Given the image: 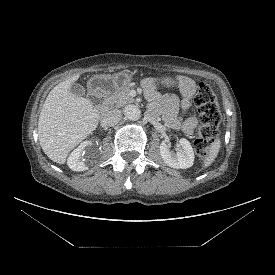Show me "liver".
Segmentation results:
<instances>
[{
	"mask_svg": "<svg viewBox=\"0 0 275 275\" xmlns=\"http://www.w3.org/2000/svg\"><path fill=\"white\" fill-rule=\"evenodd\" d=\"M75 74L56 85L48 94L38 120L39 142L54 162L64 164L69 152L93 132L100 121L93 103L70 91Z\"/></svg>",
	"mask_w": 275,
	"mask_h": 275,
	"instance_id": "1",
	"label": "liver"
}]
</instances>
